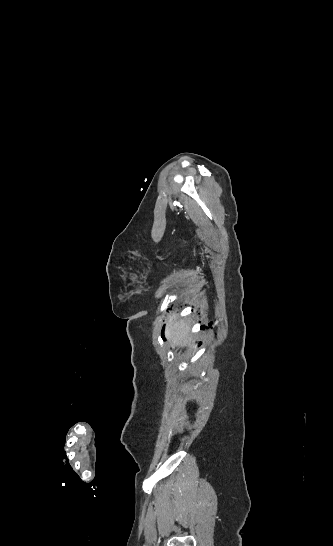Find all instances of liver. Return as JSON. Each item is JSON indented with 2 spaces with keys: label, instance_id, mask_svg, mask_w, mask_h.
I'll use <instances>...</instances> for the list:
<instances>
[{
  "label": "liver",
  "instance_id": "obj_1",
  "mask_svg": "<svg viewBox=\"0 0 333 546\" xmlns=\"http://www.w3.org/2000/svg\"><path fill=\"white\" fill-rule=\"evenodd\" d=\"M166 328V338L171 343V345L177 346H192V338L189 335L190 325L185 320L177 321V314H170L165 322Z\"/></svg>",
  "mask_w": 333,
  "mask_h": 546
}]
</instances>
